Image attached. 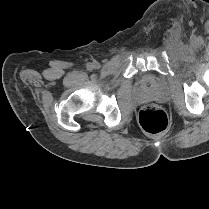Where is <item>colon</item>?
I'll return each mask as SVG.
<instances>
[{
  "instance_id": "1",
  "label": "colon",
  "mask_w": 209,
  "mask_h": 209,
  "mask_svg": "<svg viewBox=\"0 0 209 209\" xmlns=\"http://www.w3.org/2000/svg\"><path fill=\"white\" fill-rule=\"evenodd\" d=\"M139 122L149 133L165 131L169 125L167 113L159 108L142 110L139 114Z\"/></svg>"
}]
</instances>
